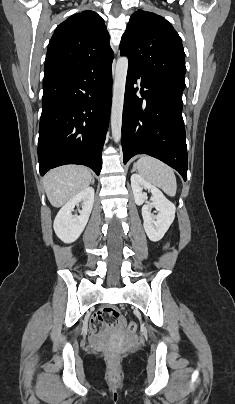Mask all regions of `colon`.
<instances>
[{"label": "colon", "mask_w": 235, "mask_h": 404, "mask_svg": "<svg viewBox=\"0 0 235 404\" xmlns=\"http://www.w3.org/2000/svg\"><path fill=\"white\" fill-rule=\"evenodd\" d=\"M165 249H168V245H166ZM105 314L110 317H115L116 319L113 321H107L106 326L110 330H119L121 328L126 327L127 331L130 333H135L137 330V324L135 322L127 323L124 318H119L118 310L114 307H105Z\"/></svg>", "instance_id": "colon-1"}]
</instances>
